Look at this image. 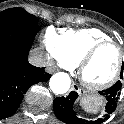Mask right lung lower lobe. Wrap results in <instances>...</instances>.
I'll return each mask as SVG.
<instances>
[{"mask_svg": "<svg viewBox=\"0 0 124 124\" xmlns=\"http://www.w3.org/2000/svg\"><path fill=\"white\" fill-rule=\"evenodd\" d=\"M38 25L0 28V119L13 115L28 88L51 75L28 62Z\"/></svg>", "mask_w": 124, "mask_h": 124, "instance_id": "1", "label": "right lung lower lobe"}]
</instances>
